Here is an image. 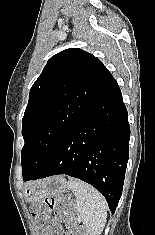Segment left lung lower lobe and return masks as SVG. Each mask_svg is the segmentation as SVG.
<instances>
[{
	"mask_svg": "<svg viewBox=\"0 0 155 235\" xmlns=\"http://www.w3.org/2000/svg\"><path fill=\"white\" fill-rule=\"evenodd\" d=\"M130 127L113 78L89 111L71 128L43 167L24 181L66 174L94 186L112 214L122 195Z\"/></svg>",
	"mask_w": 155,
	"mask_h": 235,
	"instance_id": "obj_1",
	"label": "left lung lower lobe"
}]
</instances>
